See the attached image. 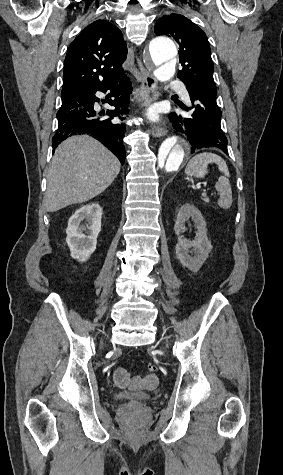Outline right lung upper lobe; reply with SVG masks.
I'll return each mask as SVG.
<instances>
[{"label": "right lung upper lobe", "mask_w": 283, "mask_h": 475, "mask_svg": "<svg viewBox=\"0 0 283 475\" xmlns=\"http://www.w3.org/2000/svg\"><path fill=\"white\" fill-rule=\"evenodd\" d=\"M126 57L122 32L108 21L97 20L70 44L62 89L97 87L122 81L127 78L122 68Z\"/></svg>", "instance_id": "cb5924a9"}]
</instances>
